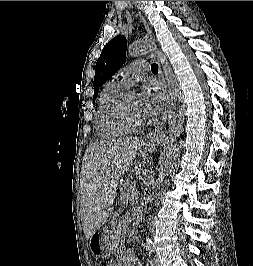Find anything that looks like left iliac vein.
Here are the masks:
<instances>
[{"label": "left iliac vein", "instance_id": "left-iliac-vein-1", "mask_svg": "<svg viewBox=\"0 0 253 266\" xmlns=\"http://www.w3.org/2000/svg\"><path fill=\"white\" fill-rule=\"evenodd\" d=\"M154 262H155V265H156V266H161V265H160L159 257H158L157 255L155 256Z\"/></svg>", "mask_w": 253, "mask_h": 266}]
</instances>
